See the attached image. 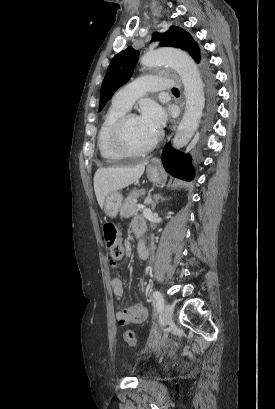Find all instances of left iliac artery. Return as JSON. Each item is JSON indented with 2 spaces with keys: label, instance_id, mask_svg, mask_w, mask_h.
<instances>
[{
  "label": "left iliac artery",
  "instance_id": "left-iliac-artery-1",
  "mask_svg": "<svg viewBox=\"0 0 275 409\" xmlns=\"http://www.w3.org/2000/svg\"><path fill=\"white\" fill-rule=\"evenodd\" d=\"M152 295L153 298L155 299L157 312L162 313L164 309V299L162 294L158 290H154Z\"/></svg>",
  "mask_w": 275,
  "mask_h": 409
}]
</instances>
